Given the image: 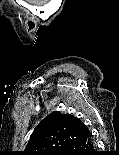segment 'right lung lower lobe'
I'll list each match as a JSON object with an SVG mask.
<instances>
[{"mask_svg":"<svg viewBox=\"0 0 119 155\" xmlns=\"http://www.w3.org/2000/svg\"><path fill=\"white\" fill-rule=\"evenodd\" d=\"M61 155H95V145L89 131L70 144Z\"/></svg>","mask_w":119,"mask_h":155,"instance_id":"1","label":"right lung lower lobe"}]
</instances>
